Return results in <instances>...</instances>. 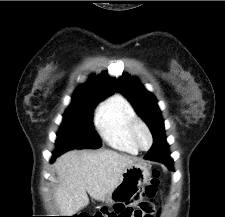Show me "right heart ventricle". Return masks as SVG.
Masks as SVG:
<instances>
[{"instance_id": "right-heart-ventricle-1", "label": "right heart ventricle", "mask_w": 225, "mask_h": 217, "mask_svg": "<svg viewBox=\"0 0 225 217\" xmlns=\"http://www.w3.org/2000/svg\"><path fill=\"white\" fill-rule=\"evenodd\" d=\"M136 119L137 115L130 101L116 94L101 104L95 125L109 146L122 152L136 154L139 149L130 134L131 124Z\"/></svg>"}]
</instances>
